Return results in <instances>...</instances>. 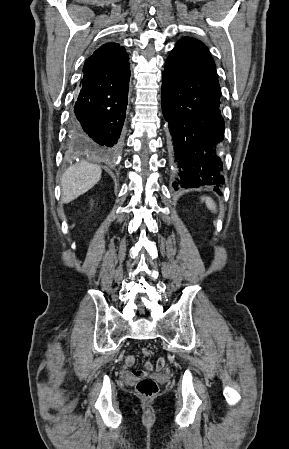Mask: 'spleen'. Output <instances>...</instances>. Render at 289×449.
Listing matches in <instances>:
<instances>
[{
    "label": "spleen",
    "instance_id": "spleen-1",
    "mask_svg": "<svg viewBox=\"0 0 289 449\" xmlns=\"http://www.w3.org/2000/svg\"><path fill=\"white\" fill-rule=\"evenodd\" d=\"M201 201H202V202H205L207 208H208L211 212H213V213H216V212H217V206H216L215 202L212 200L211 197H208V196H202V197H201Z\"/></svg>",
    "mask_w": 289,
    "mask_h": 449
}]
</instances>
